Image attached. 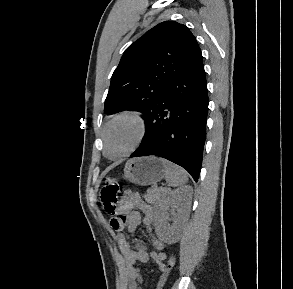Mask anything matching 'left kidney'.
Masks as SVG:
<instances>
[{
    "label": "left kidney",
    "instance_id": "left-kidney-1",
    "mask_svg": "<svg viewBox=\"0 0 293 289\" xmlns=\"http://www.w3.org/2000/svg\"><path fill=\"white\" fill-rule=\"evenodd\" d=\"M190 191L191 188L188 186L171 191L157 208L154 227L156 235L161 241L173 244L179 240L190 208ZM169 208H171V218L167 212ZM168 220L173 222L172 225L168 223Z\"/></svg>",
    "mask_w": 293,
    "mask_h": 289
}]
</instances>
